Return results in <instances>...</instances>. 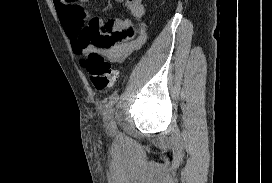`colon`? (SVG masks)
I'll use <instances>...</instances> for the list:
<instances>
[{"label": "colon", "instance_id": "1", "mask_svg": "<svg viewBox=\"0 0 272 183\" xmlns=\"http://www.w3.org/2000/svg\"><path fill=\"white\" fill-rule=\"evenodd\" d=\"M81 65L87 71L95 89L102 91L115 84L118 72L100 54L95 52L87 54L81 60Z\"/></svg>", "mask_w": 272, "mask_h": 183}]
</instances>
